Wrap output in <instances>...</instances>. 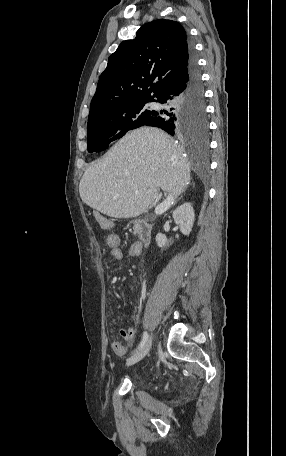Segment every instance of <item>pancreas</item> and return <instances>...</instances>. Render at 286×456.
Here are the masks:
<instances>
[{"label":"pancreas","instance_id":"pancreas-1","mask_svg":"<svg viewBox=\"0 0 286 456\" xmlns=\"http://www.w3.org/2000/svg\"><path fill=\"white\" fill-rule=\"evenodd\" d=\"M133 229H134V231H133V234H134V235H136V234L139 233V230H138L137 226H135Z\"/></svg>","mask_w":286,"mask_h":456}]
</instances>
